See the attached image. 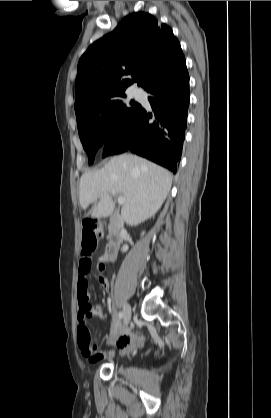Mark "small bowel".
<instances>
[{
	"mask_svg": "<svg viewBox=\"0 0 271 418\" xmlns=\"http://www.w3.org/2000/svg\"><path fill=\"white\" fill-rule=\"evenodd\" d=\"M90 270V260L83 257L79 263L78 269V287H77V300L79 306V312L77 315L78 326L83 323L85 327L89 325L92 328H97L99 326V321L97 317L102 316V309L98 305H95V301L90 295L88 289V273ZM103 287L107 288V282L102 279ZM110 341L114 343L115 347L120 349L123 352L130 351L134 346L141 344V338L137 336L132 330L127 331L125 334L118 336L113 332L110 336ZM80 350L84 357L88 359L90 363H96L104 357L110 356L105 355L97 351L95 346L85 347L80 344Z\"/></svg>",
	"mask_w": 271,
	"mask_h": 418,
	"instance_id": "c3829d8e",
	"label": "small bowel"
}]
</instances>
